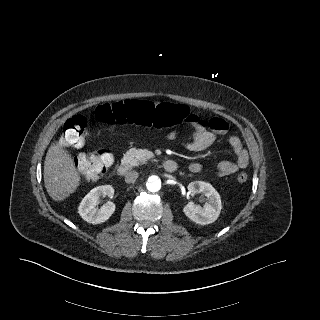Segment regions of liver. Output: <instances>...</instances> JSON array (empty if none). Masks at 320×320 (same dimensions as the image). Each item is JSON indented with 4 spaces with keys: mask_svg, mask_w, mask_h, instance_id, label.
I'll use <instances>...</instances> for the list:
<instances>
[{
    "mask_svg": "<svg viewBox=\"0 0 320 320\" xmlns=\"http://www.w3.org/2000/svg\"><path fill=\"white\" fill-rule=\"evenodd\" d=\"M43 171L45 188L54 201L66 199L80 184L71 156L59 144L49 147Z\"/></svg>",
    "mask_w": 320,
    "mask_h": 320,
    "instance_id": "1",
    "label": "liver"
}]
</instances>
